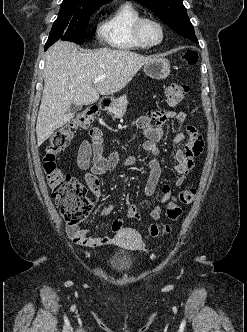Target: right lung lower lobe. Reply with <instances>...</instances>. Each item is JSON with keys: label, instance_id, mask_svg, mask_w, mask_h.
Listing matches in <instances>:
<instances>
[{"label": "right lung lower lobe", "instance_id": "98d812e1", "mask_svg": "<svg viewBox=\"0 0 247 332\" xmlns=\"http://www.w3.org/2000/svg\"><path fill=\"white\" fill-rule=\"evenodd\" d=\"M52 44H48V43H46V45H45V50L49 47V46H51Z\"/></svg>", "mask_w": 247, "mask_h": 332}]
</instances>
